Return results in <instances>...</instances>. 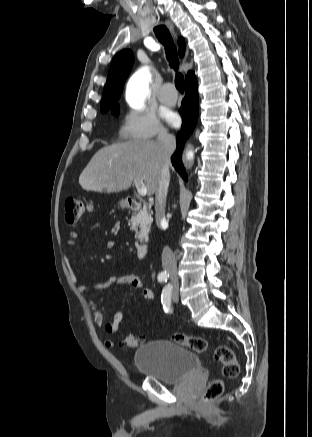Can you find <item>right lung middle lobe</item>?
I'll list each match as a JSON object with an SVG mask.
<instances>
[{"mask_svg":"<svg viewBox=\"0 0 312 437\" xmlns=\"http://www.w3.org/2000/svg\"><path fill=\"white\" fill-rule=\"evenodd\" d=\"M104 112H106V111H104ZM118 112H119V107L117 106V107H114L113 109H112V113L113 114H118Z\"/></svg>","mask_w":312,"mask_h":437,"instance_id":"1","label":"right lung middle lobe"}]
</instances>
